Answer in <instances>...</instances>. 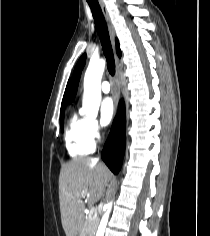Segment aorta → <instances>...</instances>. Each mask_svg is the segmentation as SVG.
<instances>
[{"label":"aorta","mask_w":210,"mask_h":236,"mask_svg":"<svg viewBox=\"0 0 210 236\" xmlns=\"http://www.w3.org/2000/svg\"><path fill=\"white\" fill-rule=\"evenodd\" d=\"M105 64L106 62L104 59H91L84 76L82 113L91 119L96 118L98 114L101 102V79ZM111 208L112 202H109L106 205V212L104 213L98 228V234L100 233L101 236H103L105 231Z\"/></svg>","instance_id":"obj_1"}]
</instances>
